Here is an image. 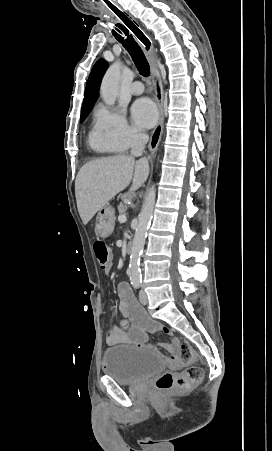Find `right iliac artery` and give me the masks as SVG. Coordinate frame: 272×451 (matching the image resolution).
<instances>
[{
  "mask_svg": "<svg viewBox=\"0 0 272 451\" xmlns=\"http://www.w3.org/2000/svg\"><path fill=\"white\" fill-rule=\"evenodd\" d=\"M140 283H141V282H139V281H134V282H132V285H133V287H134L135 289H138L139 286H140Z\"/></svg>",
  "mask_w": 272,
  "mask_h": 451,
  "instance_id": "82829eb1",
  "label": "right iliac artery"
}]
</instances>
